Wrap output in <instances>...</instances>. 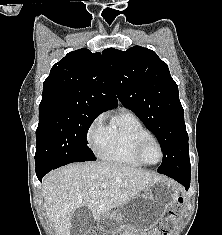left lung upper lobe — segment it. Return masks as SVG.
Wrapping results in <instances>:
<instances>
[{"label": "left lung upper lobe", "mask_w": 222, "mask_h": 235, "mask_svg": "<svg viewBox=\"0 0 222 235\" xmlns=\"http://www.w3.org/2000/svg\"><path fill=\"white\" fill-rule=\"evenodd\" d=\"M121 103L153 132L163 150L159 173L190 174L188 134L178 86L157 54L141 46L102 52Z\"/></svg>", "instance_id": "5c2ea615"}]
</instances>
